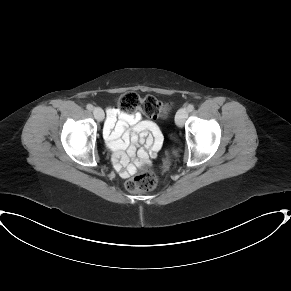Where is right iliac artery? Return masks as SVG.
Returning <instances> with one entry per match:
<instances>
[{"instance_id": "82829eb1", "label": "right iliac artery", "mask_w": 291, "mask_h": 291, "mask_svg": "<svg viewBox=\"0 0 291 291\" xmlns=\"http://www.w3.org/2000/svg\"><path fill=\"white\" fill-rule=\"evenodd\" d=\"M86 108H87L88 110L92 111V110H93V105L88 104Z\"/></svg>"}]
</instances>
